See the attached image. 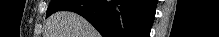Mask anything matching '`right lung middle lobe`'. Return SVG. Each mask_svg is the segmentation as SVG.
<instances>
[{"instance_id": "right-lung-middle-lobe-1", "label": "right lung middle lobe", "mask_w": 219, "mask_h": 37, "mask_svg": "<svg viewBox=\"0 0 219 37\" xmlns=\"http://www.w3.org/2000/svg\"><path fill=\"white\" fill-rule=\"evenodd\" d=\"M70 2V0H52L47 9V17L57 11H61V9Z\"/></svg>"}]
</instances>
